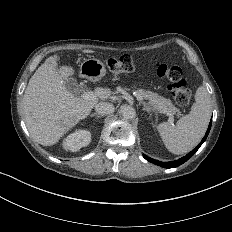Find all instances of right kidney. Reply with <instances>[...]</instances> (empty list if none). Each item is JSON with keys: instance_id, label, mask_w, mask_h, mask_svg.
I'll return each mask as SVG.
<instances>
[{"instance_id": "right-kidney-1", "label": "right kidney", "mask_w": 232, "mask_h": 232, "mask_svg": "<svg viewBox=\"0 0 232 232\" xmlns=\"http://www.w3.org/2000/svg\"><path fill=\"white\" fill-rule=\"evenodd\" d=\"M91 142V133L86 130H76L69 134L62 142V147L66 151L77 152L82 147Z\"/></svg>"}]
</instances>
